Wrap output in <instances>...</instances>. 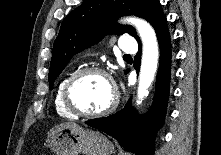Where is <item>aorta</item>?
I'll use <instances>...</instances> for the list:
<instances>
[{"instance_id": "762f6f07", "label": "aorta", "mask_w": 221, "mask_h": 155, "mask_svg": "<svg viewBox=\"0 0 221 155\" xmlns=\"http://www.w3.org/2000/svg\"><path fill=\"white\" fill-rule=\"evenodd\" d=\"M137 29L143 43L142 61L139 73V85L137 91L138 102H142L148 96V88L151 86L158 66L159 49L154 29L143 19L130 17L124 20Z\"/></svg>"}]
</instances>
